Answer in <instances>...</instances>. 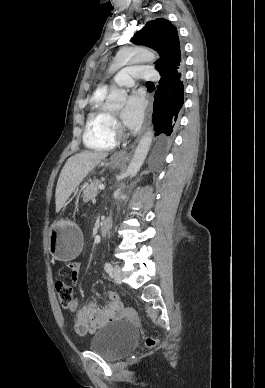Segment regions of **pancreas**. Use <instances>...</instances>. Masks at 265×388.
Returning a JSON list of instances; mask_svg holds the SVG:
<instances>
[{
    "instance_id": "obj_1",
    "label": "pancreas",
    "mask_w": 265,
    "mask_h": 388,
    "mask_svg": "<svg viewBox=\"0 0 265 388\" xmlns=\"http://www.w3.org/2000/svg\"><path fill=\"white\" fill-rule=\"evenodd\" d=\"M100 184H102L101 180H94V182H91V184L83 190L82 198H84L85 202L86 200H94L95 196L98 194V186H100Z\"/></svg>"
}]
</instances>
